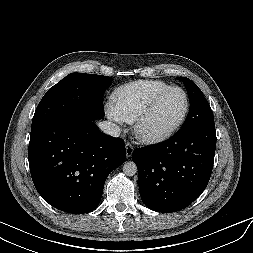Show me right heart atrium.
<instances>
[{
	"instance_id": "right-heart-atrium-1",
	"label": "right heart atrium",
	"mask_w": 253,
	"mask_h": 253,
	"mask_svg": "<svg viewBox=\"0 0 253 253\" xmlns=\"http://www.w3.org/2000/svg\"><path fill=\"white\" fill-rule=\"evenodd\" d=\"M106 114L107 116L117 122V123H121L122 122V119L120 117V115L118 114V112L116 111L115 107L113 106V104H108L106 106Z\"/></svg>"
}]
</instances>
